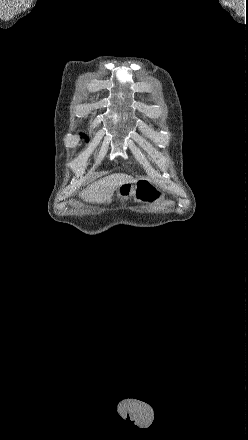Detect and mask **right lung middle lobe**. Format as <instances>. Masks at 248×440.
Segmentation results:
<instances>
[{"mask_svg":"<svg viewBox=\"0 0 248 440\" xmlns=\"http://www.w3.org/2000/svg\"><path fill=\"white\" fill-rule=\"evenodd\" d=\"M86 141H88V137H86Z\"/></svg>","mask_w":248,"mask_h":440,"instance_id":"right-lung-middle-lobe-1","label":"right lung middle lobe"}]
</instances>
